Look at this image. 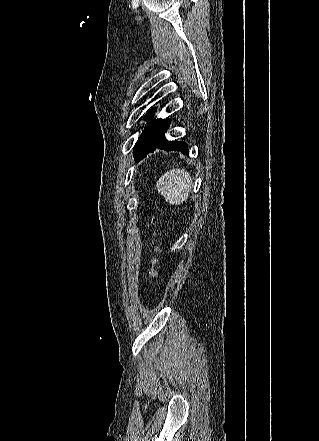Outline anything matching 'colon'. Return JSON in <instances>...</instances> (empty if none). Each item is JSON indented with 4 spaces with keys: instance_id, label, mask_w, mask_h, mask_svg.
Instances as JSON below:
<instances>
[{
    "instance_id": "5ec220e1",
    "label": "colon",
    "mask_w": 319,
    "mask_h": 441,
    "mask_svg": "<svg viewBox=\"0 0 319 441\" xmlns=\"http://www.w3.org/2000/svg\"><path fill=\"white\" fill-rule=\"evenodd\" d=\"M155 224H156V219L155 218H152L148 222V225L153 228V237H154V239L158 240V238L160 237L161 233H160L159 230L154 228ZM160 254H161L160 247L158 245H155L154 246V256L152 257L150 268L148 269V279H150V280L155 279L157 277V266H158V263H159L158 255H160Z\"/></svg>"
}]
</instances>
